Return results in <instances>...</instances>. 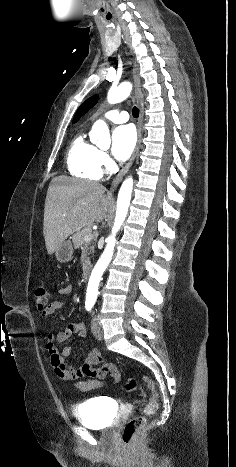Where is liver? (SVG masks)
Segmentation results:
<instances>
[{
    "label": "liver",
    "mask_w": 236,
    "mask_h": 467,
    "mask_svg": "<svg viewBox=\"0 0 236 467\" xmlns=\"http://www.w3.org/2000/svg\"><path fill=\"white\" fill-rule=\"evenodd\" d=\"M96 182L58 176L52 179L45 200L43 234L52 255L71 234L100 223L106 216L110 198Z\"/></svg>",
    "instance_id": "6515ba94"
}]
</instances>
